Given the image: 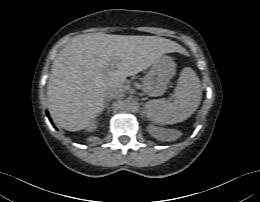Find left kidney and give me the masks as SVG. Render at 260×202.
Wrapping results in <instances>:
<instances>
[{
    "label": "left kidney",
    "instance_id": "left-kidney-1",
    "mask_svg": "<svg viewBox=\"0 0 260 202\" xmlns=\"http://www.w3.org/2000/svg\"><path fill=\"white\" fill-rule=\"evenodd\" d=\"M148 131L155 138H160L163 135L170 133V131H168V130L160 129V128L155 127L153 125L148 127Z\"/></svg>",
    "mask_w": 260,
    "mask_h": 202
}]
</instances>
